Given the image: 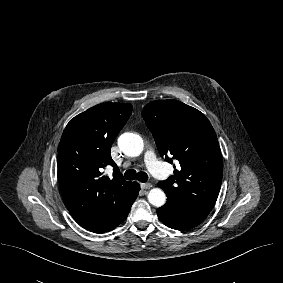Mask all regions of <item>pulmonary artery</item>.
I'll use <instances>...</instances> for the list:
<instances>
[{"label": "pulmonary artery", "instance_id": "obj_1", "mask_svg": "<svg viewBox=\"0 0 283 283\" xmlns=\"http://www.w3.org/2000/svg\"><path fill=\"white\" fill-rule=\"evenodd\" d=\"M145 163L147 167L151 170L154 176H156L159 179H164L167 176V171L165 166L160 164L158 160L156 159V156L153 151H147L145 153Z\"/></svg>", "mask_w": 283, "mask_h": 283}]
</instances>
